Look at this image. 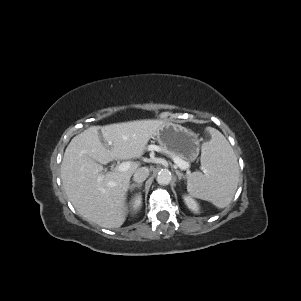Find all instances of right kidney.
<instances>
[{
    "label": "right kidney",
    "mask_w": 301,
    "mask_h": 301,
    "mask_svg": "<svg viewBox=\"0 0 301 301\" xmlns=\"http://www.w3.org/2000/svg\"><path fill=\"white\" fill-rule=\"evenodd\" d=\"M141 204L142 198L140 195H136L131 201V206L133 210H138L141 207Z\"/></svg>",
    "instance_id": "1"
}]
</instances>
